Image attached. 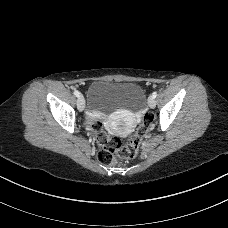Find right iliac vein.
I'll list each match as a JSON object with an SVG mask.
<instances>
[{
	"mask_svg": "<svg viewBox=\"0 0 228 228\" xmlns=\"http://www.w3.org/2000/svg\"><path fill=\"white\" fill-rule=\"evenodd\" d=\"M77 107H78V110L79 111H83L84 110V108H85V99H84V97L82 96V95H80L79 97H78V100H77Z\"/></svg>",
	"mask_w": 228,
	"mask_h": 228,
	"instance_id": "63e3f726",
	"label": "right iliac vein"
}]
</instances>
